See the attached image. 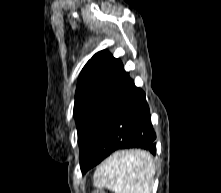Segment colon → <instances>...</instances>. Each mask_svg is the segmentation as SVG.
<instances>
[{
	"label": "colon",
	"instance_id": "5ec220e1",
	"mask_svg": "<svg viewBox=\"0 0 221 193\" xmlns=\"http://www.w3.org/2000/svg\"><path fill=\"white\" fill-rule=\"evenodd\" d=\"M94 193H104L103 191H95Z\"/></svg>",
	"mask_w": 221,
	"mask_h": 193
}]
</instances>
